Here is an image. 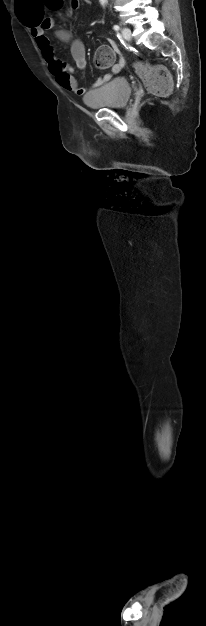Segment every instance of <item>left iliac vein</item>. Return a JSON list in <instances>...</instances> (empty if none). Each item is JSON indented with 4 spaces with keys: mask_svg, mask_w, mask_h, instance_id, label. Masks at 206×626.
<instances>
[{
    "mask_svg": "<svg viewBox=\"0 0 206 626\" xmlns=\"http://www.w3.org/2000/svg\"><path fill=\"white\" fill-rule=\"evenodd\" d=\"M121 32H122V36H123L126 40H128V41H130V40H131V30H130L129 28H126V27H125V28H123V29H122V31H121Z\"/></svg>",
    "mask_w": 206,
    "mask_h": 626,
    "instance_id": "4c4485c4",
    "label": "left iliac vein"
}]
</instances>
